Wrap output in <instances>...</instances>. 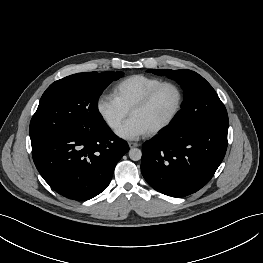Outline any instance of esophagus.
<instances>
[{
	"mask_svg": "<svg viewBox=\"0 0 263 263\" xmlns=\"http://www.w3.org/2000/svg\"><path fill=\"white\" fill-rule=\"evenodd\" d=\"M128 145H129L130 148H134V147L138 146V143H136V142H129Z\"/></svg>",
	"mask_w": 263,
	"mask_h": 263,
	"instance_id": "1",
	"label": "esophagus"
}]
</instances>
